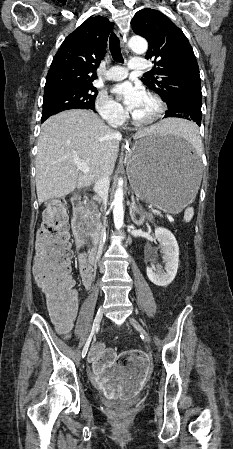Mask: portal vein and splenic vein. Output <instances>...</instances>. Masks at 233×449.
<instances>
[{"mask_svg":"<svg viewBox=\"0 0 233 449\" xmlns=\"http://www.w3.org/2000/svg\"><path fill=\"white\" fill-rule=\"evenodd\" d=\"M75 164H76L77 168H78L80 171H82V172L85 173V174H88V172H89V167H88V165H87L85 162H83V161L77 159V160L75 161ZM151 211H152L153 213L161 214V211H159V210H157V209H151Z\"/></svg>","mask_w":233,"mask_h":449,"instance_id":"1","label":"portal vein and splenic vein"}]
</instances>
